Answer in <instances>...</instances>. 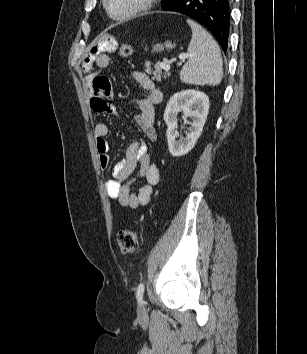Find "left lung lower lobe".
I'll return each instance as SVG.
<instances>
[{"mask_svg":"<svg viewBox=\"0 0 307 354\" xmlns=\"http://www.w3.org/2000/svg\"><path fill=\"white\" fill-rule=\"evenodd\" d=\"M165 11H176L204 25L216 38L223 51H227L230 0H171Z\"/></svg>","mask_w":307,"mask_h":354,"instance_id":"left-lung-lower-lobe-1","label":"left lung lower lobe"}]
</instances>
